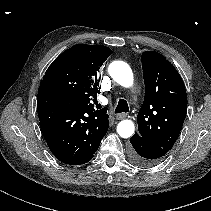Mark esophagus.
<instances>
[{"instance_id": "1", "label": "esophagus", "mask_w": 211, "mask_h": 211, "mask_svg": "<svg viewBox=\"0 0 211 211\" xmlns=\"http://www.w3.org/2000/svg\"><path fill=\"white\" fill-rule=\"evenodd\" d=\"M127 114L126 113H120L116 115V119L117 120H122L124 118H126Z\"/></svg>"}]
</instances>
